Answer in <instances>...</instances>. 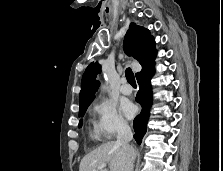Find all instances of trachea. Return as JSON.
<instances>
[{
    "label": "trachea",
    "mask_w": 223,
    "mask_h": 171,
    "mask_svg": "<svg viewBox=\"0 0 223 171\" xmlns=\"http://www.w3.org/2000/svg\"><path fill=\"white\" fill-rule=\"evenodd\" d=\"M125 76L130 84H136L134 73L132 72L131 68L126 69Z\"/></svg>",
    "instance_id": "obj_1"
}]
</instances>
